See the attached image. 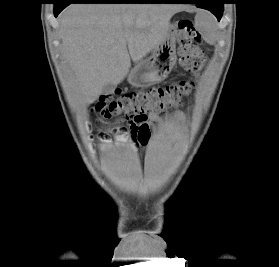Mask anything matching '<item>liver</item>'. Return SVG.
Here are the masks:
<instances>
[{
	"label": "liver",
	"mask_w": 279,
	"mask_h": 267,
	"mask_svg": "<svg viewBox=\"0 0 279 267\" xmlns=\"http://www.w3.org/2000/svg\"><path fill=\"white\" fill-rule=\"evenodd\" d=\"M171 4H73L59 17L62 57L77 77L85 104L108 83L118 85L167 35Z\"/></svg>",
	"instance_id": "liver-1"
}]
</instances>
